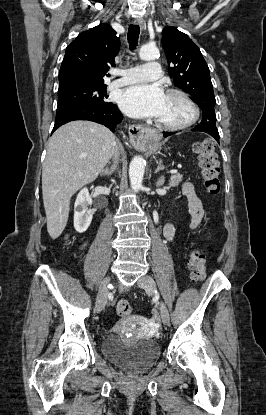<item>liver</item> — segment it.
Listing matches in <instances>:
<instances>
[{
    "mask_svg": "<svg viewBox=\"0 0 266 415\" xmlns=\"http://www.w3.org/2000/svg\"><path fill=\"white\" fill-rule=\"evenodd\" d=\"M116 148L115 135L98 123L72 121L54 132L42 169L43 203L52 239L66 227L72 195L98 177Z\"/></svg>",
    "mask_w": 266,
    "mask_h": 415,
    "instance_id": "1",
    "label": "liver"
}]
</instances>
